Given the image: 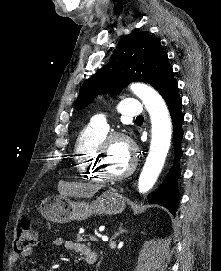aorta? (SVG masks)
Returning a JSON list of instances; mask_svg holds the SVG:
<instances>
[{"label": "aorta", "instance_id": "aorta-1", "mask_svg": "<svg viewBox=\"0 0 221 271\" xmlns=\"http://www.w3.org/2000/svg\"><path fill=\"white\" fill-rule=\"evenodd\" d=\"M130 88L145 105L152 125L150 150L138 180L139 192L146 193L163 168L170 148L172 123L167 105L156 90L142 83L132 84Z\"/></svg>", "mask_w": 221, "mask_h": 271}]
</instances>
